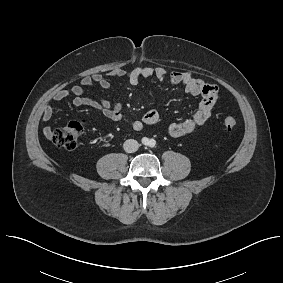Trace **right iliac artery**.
I'll list each match as a JSON object with an SVG mask.
<instances>
[{
	"label": "right iliac artery",
	"instance_id": "1",
	"mask_svg": "<svg viewBox=\"0 0 283 283\" xmlns=\"http://www.w3.org/2000/svg\"><path fill=\"white\" fill-rule=\"evenodd\" d=\"M148 142H149L148 138H146V137H143V138H142V143H143V144L146 145V144H148Z\"/></svg>",
	"mask_w": 283,
	"mask_h": 283
}]
</instances>
